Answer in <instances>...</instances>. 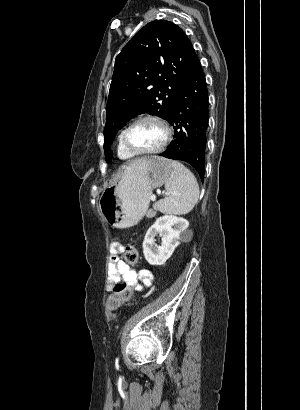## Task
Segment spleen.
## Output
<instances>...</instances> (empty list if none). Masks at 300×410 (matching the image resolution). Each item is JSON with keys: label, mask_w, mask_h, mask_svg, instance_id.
Instances as JSON below:
<instances>
[{"label": "spleen", "mask_w": 300, "mask_h": 410, "mask_svg": "<svg viewBox=\"0 0 300 410\" xmlns=\"http://www.w3.org/2000/svg\"><path fill=\"white\" fill-rule=\"evenodd\" d=\"M173 171L165 182L167 196L160 200L162 213L183 215L198 202L199 186L193 173L178 161H171Z\"/></svg>", "instance_id": "obj_1"}]
</instances>
